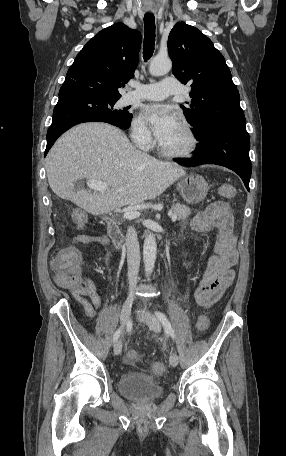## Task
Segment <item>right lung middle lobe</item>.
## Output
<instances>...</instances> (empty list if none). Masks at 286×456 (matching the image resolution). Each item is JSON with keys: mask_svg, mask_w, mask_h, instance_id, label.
<instances>
[{"mask_svg": "<svg viewBox=\"0 0 286 456\" xmlns=\"http://www.w3.org/2000/svg\"><path fill=\"white\" fill-rule=\"evenodd\" d=\"M102 100V104L97 107V117L102 121L117 125L119 128H128L132 120V114L127 111V108L118 110L115 108L117 100Z\"/></svg>", "mask_w": 286, "mask_h": 456, "instance_id": "dd1d6c3e", "label": "right lung middle lobe"}]
</instances>
